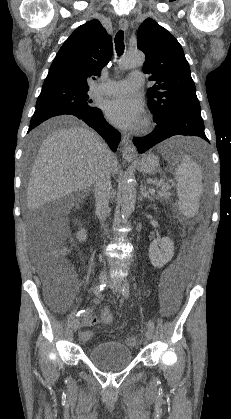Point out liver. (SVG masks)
I'll return each instance as SVG.
<instances>
[{
  "mask_svg": "<svg viewBox=\"0 0 231 419\" xmlns=\"http://www.w3.org/2000/svg\"><path fill=\"white\" fill-rule=\"evenodd\" d=\"M66 119L55 118L45 124L49 134L38 150L27 187L30 211L92 187L109 150L100 136L86 127H56ZM110 171H118L115 156L110 160Z\"/></svg>",
  "mask_w": 231,
  "mask_h": 419,
  "instance_id": "6515ba94",
  "label": "liver"
}]
</instances>
